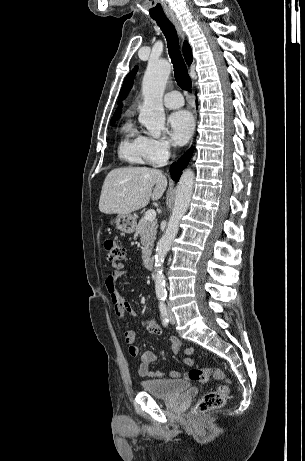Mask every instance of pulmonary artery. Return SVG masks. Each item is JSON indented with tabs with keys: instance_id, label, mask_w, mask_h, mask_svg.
Instances as JSON below:
<instances>
[{
	"instance_id": "e3ab8cb5",
	"label": "pulmonary artery",
	"mask_w": 305,
	"mask_h": 461,
	"mask_svg": "<svg viewBox=\"0 0 305 461\" xmlns=\"http://www.w3.org/2000/svg\"><path fill=\"white\" fill-rule=\"evenodd\" d=\"M164 105L170 109H177L183 106L184 100L182 95L178 91H171L164 96Z\"/></svg>"
}]
</instances>
